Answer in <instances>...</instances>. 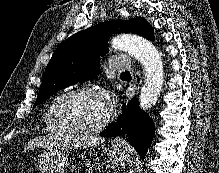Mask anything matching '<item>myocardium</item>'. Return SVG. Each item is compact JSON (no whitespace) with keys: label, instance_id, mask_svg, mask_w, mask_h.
Returning a JSON list of instances; mask_svg holds the SVG:
<instances>
[{"label":"myocardium","instance_id":"myocardium-1","mask_svg":"<svg viewBox=\"0 0 219 173\" xmlns=\"http://www.w3.org/2000/svg\"><path fill=\"white\" fill-rule=\"evenodd\" d=\"M85 93L98 94L103 97V93L98 87H95L92 85H85V86L76 87L66 92L61 97V99L59 100L57 104V108H56L57 121L65 132L73 136H89V135L99 133L109 125V123L111 122L113 118V111L110 108H108L107 115L96 126H93L90 128H78V127L72 126L66 117L67 105L73 97L80 95V94H85Z\"/></svg>","mask_w":219,"mask_h":173}]
</instances>
